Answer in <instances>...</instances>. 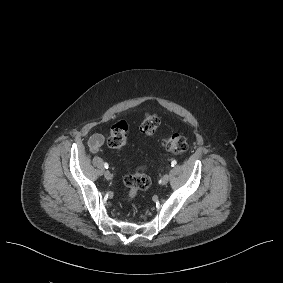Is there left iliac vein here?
I'll return each instance as SVG.
<instances>
[{
    "mask_svg": "<svg viewBox=\"0 0 283 283\" xmlns=\"http://www.w3.org/2000/svg\"><path fill=\"white\" fill-rule=\"evenodd\" d=\"M169 178H170L169 174L163 175V177H162L161 180H160V183H161L162 185H166V184L168 183V181H169Z\"/></svg>",
    "mask_w": 283,
    "mask_h": 283,
    "instance_id": "4c4485c4",
    "label": "left iliac vein"
}]
</instances>
